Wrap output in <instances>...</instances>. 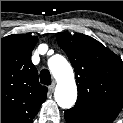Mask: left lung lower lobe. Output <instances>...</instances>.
I'll return each instance as SVG.
<instances>
[{
  "label": "left lung lower lobe",
  "mask_w": 123,
  "mask_h": 123,
  "mask_svg": "<svg viewBox=\"0 0 123 123\" xmlns=\"http://www.w3.org/2000/svg\"><path fill=\"white\" fill-rule=\"evenodd\" d=\"M67 123H112L114 118L85 109L79 105L66 110L64 114Z\"/></svg>",
  "instance_id": "0a47b994"
}]
</instances>
